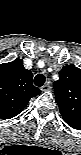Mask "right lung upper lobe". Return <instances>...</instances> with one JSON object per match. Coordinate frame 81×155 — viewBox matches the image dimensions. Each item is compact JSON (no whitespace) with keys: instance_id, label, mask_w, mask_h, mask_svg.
<instances>
[{"instance_id":"obj_1","label":"right lung upper lobe","mask_w":81,"mask_h":155,"mask_svg":"<svg viewBox=\"0 0 81 155\" xmlns=\"http://www.w3.org/2000/svg\"><path fill=\"white\" fill-rule=\"evenodd\" d=\"M33 75L23 66L22 59L0 65V118L18 115L40 89L32 83Z\"/></svg>"}]
</instances>
